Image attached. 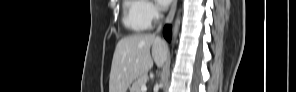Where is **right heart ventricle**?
Wrapping results in <instances>:
<instances>
[{
    "label": "right heart ventricle",
    "instance_id": "right-heart-ventricle-1",
    "mask_svg": "<svg viewBox=\"0 0 296 92\" xmlns=\"http://www.w3.org/2000/svg\"><path fill=\"white\" fill-rule=\"evenodd\" d=\"M141 2L140 1H125L124 2V26L133 32H141L147 29L148 24L141 17Z\"/></svg>",
    "mask_w": 296,
    "mask_h": 92
}]
</instances>
